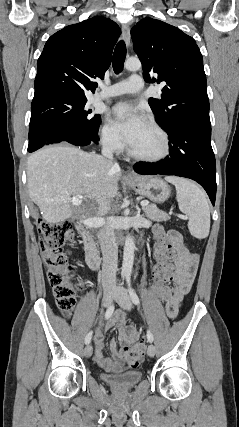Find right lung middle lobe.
I'll return each mask as SVG.
<instances>
[{
  "instance_id": "obj_1",
  "label": "right lung middle lobe",
  "mask_w": 239,
  "mask_h": 427,
  "mask_svg": "<svg viewBox=\"0 0 239 427\" xmlns=\"http://www.w3.org/2000/svg\"><path fill=\"white\" fill-rule=\"evenodd\" d=\"M87 99L55 95L32 100L28 149L48 139L67 137L73 141H89L100 124V115H90Z\"/></svg>"
}]
</instances>
